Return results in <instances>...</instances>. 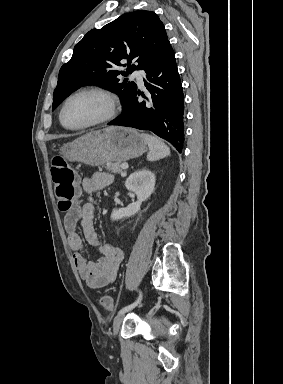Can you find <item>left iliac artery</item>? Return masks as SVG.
Instances as JSON below:
<instances>
[{"label":"left iliac artery","instance_id":"left-iliac-artery-1","mask_svg":"<svg viewBox=\"0 0 283 384\" xmlns=\"http://www.w3.org/2000/svg\"><path fill=\"white\" fill-rule=\"evenodd\" d=\"M142 292L139 290V296L137 298V300L135 302H133L132 304L128 305V306H125L123 307L119 312L118 314L120 313H125V312H128L129 310H132L134 309L136 306H138L142 300Z\"/></svg>","mask_w":283,"mask_h":384}]
</instances>
